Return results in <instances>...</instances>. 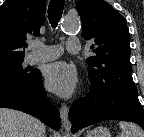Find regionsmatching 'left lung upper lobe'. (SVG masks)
I'll return each mask as SVG.
<instances>
[{
	"mask_svg": "<svg viewBox=\"0 0 144 137\" xmlns=\"http://www.w3.org/2000/svg\"><path fill=\"white\" fill-rule=\"evenodd\" d=\"M83 37L95 53L87 58L91 90H133L130 35L125 18L103 0H78Z\"/></svg>",
	"mask_w": 144,
	"mask_h": 137,
	"instance_id": "left-lung-upper-lobe-1",
	"label": "left lung upper lobe"
}]
</instances>
